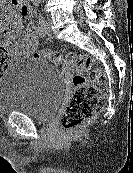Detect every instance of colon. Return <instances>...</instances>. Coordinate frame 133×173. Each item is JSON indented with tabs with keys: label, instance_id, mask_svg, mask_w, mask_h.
<instances>
[{
	"label": "colon",
	"instance_id": "5ec220e1",
	"mask_svg": "<svg viewBox=\"0 0 133 173\" xmlns=\"http://www.w3.org/2000/svg\"><path fill=\"white\" fill-rule=\"evenodd\" d=\"M34 56L42 60L64 62L73 71V84L75 91L66 105L61 118L64 130L72 131L84 122L93 118L103 105V96L100 87L106 77L99 68L95 67L89 56L60 53L43 49ZM9 56L0 48V73L5 70Z\"/></svg>",
	"mask_w": 133,
	"mask_h": 173
}]
</instances>
